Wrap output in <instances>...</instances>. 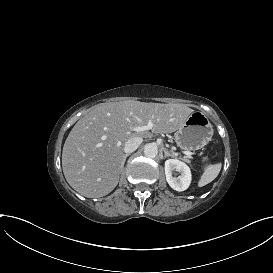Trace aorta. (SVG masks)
<instances>
[{
	"label": "aorta",
	"instance_id": "762f6f07",
	"mask_svg": "<svg viewBox=\"0 0 273 273\" xmlns=\"http://www.w3.org/2000/svg\"><path fill=\"white\" fill-rule=\"evenodd\" d=\"M144 154L148 158H155L158 154V148L154 143H148L144 146Z\"/></svg>",
	"mask_w": 273,
	"mask_h": 273
}]
</instances>
